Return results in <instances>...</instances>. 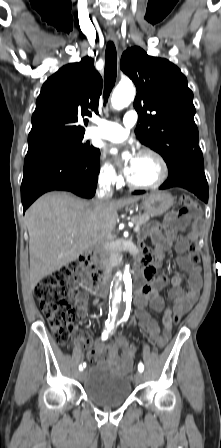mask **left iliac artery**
Segmentation results:
<instances>
[{
    "label": "left iliac artery",
    "instance_id": "44dca946",
    "mask_svg": "<svg viewBox=\"0 0 221 448\" xmlns=\"http://www.w3.org/2000/svg\"><path fill=\"white\" fill-rule=\"evenodd\" d=\"M128 317H129V314H124V316L122 318V321H127ZM143 370H144V365L142 363H139L138 364V371L139 372H143Z\"/></svg>",
    "mask_w": 221,
    "mask_h": 448
}]
</instances>
